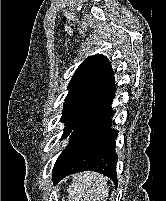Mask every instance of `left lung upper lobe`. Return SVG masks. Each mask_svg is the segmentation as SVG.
Here are the masks:
<instances>
[{
    "instance_id": "5c2ea615",
    "label": "left lung upper lobe",
    "mask_w": 166,
    "mask_h": 201,
    "mask_svg": "<svg viewBox=\"0 0 166 201\" xmlns=\"http://www.w3.org/2000/svg\"><path fill=\"white\" fill-rule=\"evenodd\" d=\"M115 78L109 60L89 56L77 68L68 85L60 121L65 123L62 138L94 115L115 93Z\"/></svg>"
}]
</instances>
